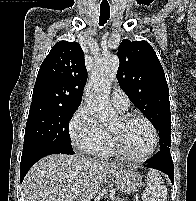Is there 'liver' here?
<instances>
[{"instance_id": "liver-1", "label": "liver", "mask_w": 196, "mask_h": 201, "mask_svg": "<svg viewBox=\"0 0 196 201\" xmlns=\"http://www.w3.org/2000/svg\"><path fill=\"white\" fill-rule=\"evenodd\" d=\"M119 169L124 167L78 155L52 154L28 171L21 197L23 201H91L107 174Z\"/></svg>"}]
</instances>
